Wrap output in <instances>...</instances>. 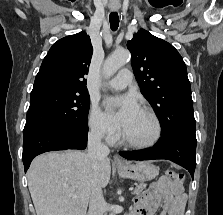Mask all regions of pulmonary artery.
I'll return each mask as SVG.
<instances>
[{"mask_svg":"<svg viewBox=\"0 0 223 215\" xmlns=\"http://www.w3.org/2000/svg\"><path fill=\"white\" fill-rule=\"evenodd\" d=\"M132 79V69H119V72L106 84L112 89L121 90L126 88Z\"/></svg>","mask_w":223,"mask_h":215,"instance_id":"pulmonary-artery-1","label":"pulmonary artery"}]
</instances>
